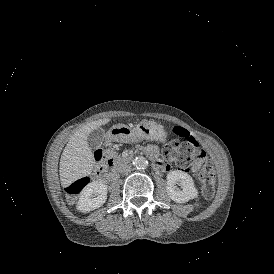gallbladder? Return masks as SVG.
I'll use <instances>...</instances> for the list:
<instances>
[{
  "mask_svg": "<svg viewBox=\"0 0 274 274\" xmlns=\"http://www.w3.org/2000/svg\"><path fill=\"white\" fill-rule=\"evenodd\" d=\"M105 137V131L102 128L93 130L87 137V143L90 148L96 149L101 146Z\"/></svg>",
  "mask_w": 274,
  "mask_h": 274,
  "instance_id": "1",
  "label": "gallbladder"
}]
</instances>
